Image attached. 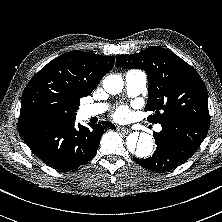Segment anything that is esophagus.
<instances>
[{"label":"esophagus","instance_id":"esophagus-1","mask_svg":"<svg viewBox=\"0 0 222 222\" xmlns=\"http://www.w3.org/2000/svg\"><path fill=\"white\" fill-rule=\"evenodd\" d=\"M117 130L123 134H128L131 130L129 128L126 127H117Z\"/></svg>","mask_w":222,"mask_h":222}]
</instances>
